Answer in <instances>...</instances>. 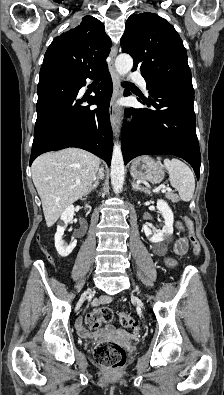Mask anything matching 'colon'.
Returning <instances> with one entry per match:
<instances>
[{
  "instance_id": "5ec220e1",
  "label": "colon",
  "mask_w": 224,
  "mask_h": 395,
  "mask_svg": "<svg viewBox=\"0 0 224 395\" xmlns=\"http://www.w3.org/2000/svg\"><path fill=\"white\" fill-rule=\"evenodd\" d=\"M185 224L188 228V238L191 242L193 253L195 255L200 252V244L193 234L192 222L188 217H185ZM113 312L108 307H100L92 310L86 319V323L91 329H98L104 324H109L113 320ZM120 324L130 329L134 334L139 331L137 321L126 312L119 314ZM94 356L96 361L106 366L109 369H119L123 367L127 359V350L113 342H98L94 347Z\"/></svg>"
}]
</instances>
